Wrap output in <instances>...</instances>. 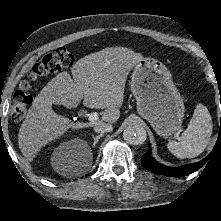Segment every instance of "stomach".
<instances>
[{
	"instance_id": "stomach-1",
	"label": "stomach",
	"mask_w": 221,
	"mask_h": 221,
	"mask_svg": "<svg viewBox=\"0 0 221 221\" xmlns=\"http://www.w3.org/2000/svg\"><path fill=\"white\" fill-rule=\"evenodd\" d=\"M131 91L138 113L155 132L167 138L182 125L185 106L168 68L154 58H143L133 69Z\"/></svg>"
}]
</instances>
